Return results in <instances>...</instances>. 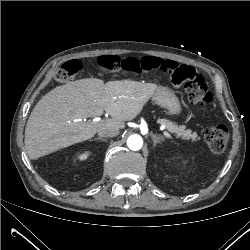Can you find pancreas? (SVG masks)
I'll return each instance as SVG.
<instances>
[{
    "label": "pancreas",
    "mask_w": 250,
    "mask_h": 250,
    "mask_svg": "<svg viewBox=\"0 0 250 250\" xmlns=\"http://www.w3.org/2000/svg\"><path fill=\"white\" fill-rule=\"evenodd\" d=\"M159 123L165 125L169 132L175 134L177 137H182L184 140L197 141L200 139L197 133H192L190 129L186 130L185 126H178L177 124L166 119L159 120Z\"/></svg>",
    "instance_id": "obj_1"
}]
</instances>
